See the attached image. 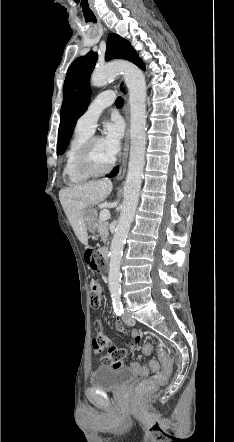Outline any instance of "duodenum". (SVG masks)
<instances>
[{
    "mask_svg": "<svg viewBox=\"0 0 234 442\" xmlns=\"http://www.w3.org/2000/svg\"><path fill=\"white\" fill-rule=\"evenodd\" d=\"M100 256L104 260V262L107 264L109 262V249L107 247H102L100 249Z\"/></svg>",
    "mask_w": 234,
    "mask_h": 442,
    "instance_id": "obj_1",
    "label": "duodenum"
}]
</instances>
